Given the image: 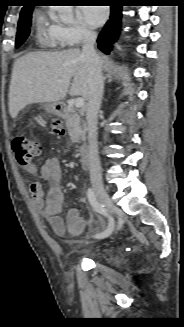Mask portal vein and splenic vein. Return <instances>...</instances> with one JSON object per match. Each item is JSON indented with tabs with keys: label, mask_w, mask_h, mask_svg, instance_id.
<instances>
[{
	"label": "portal vein and splenic vein",
	"mask_w": 184,
	"mask_h": 327,
	"mask_svg": "<svg viewBox=\"0 0 184 327\" xmlns=\"http://www.w3.org/2000/svg\"><path fill=\"white\" fill-rule=\"evenodd\" d=\"M74 106H75L76 108H81V107H83V106H84V99H83L82 97H78V98H76L75 101H74Z\"/></svg>",
	"instance_id": "obj_1"
}]
</instances>
